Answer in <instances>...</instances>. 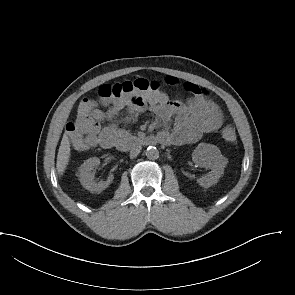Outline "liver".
Instances as JSON below:
<instances>
[{
  "label": "liver",
  "instance_id": "obj_1",
  "mask_svg": "<svg viewBox=\"0 0 295 295\" xmlns=\"http://www.w3.org/2000/svg\"><path fill=\"white\" fill-rule=\"evenodd\" d=\"M70 141L66 135L63 136L58 155H57V171L59 175H63L70 158Z\"/></svg>",
  "mask_w": 295,
  "mask_h": 295
}]
</instances>
